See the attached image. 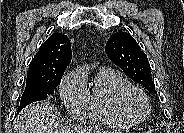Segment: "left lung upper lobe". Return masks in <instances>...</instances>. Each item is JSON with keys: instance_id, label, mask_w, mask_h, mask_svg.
<instances>
[{"instance_id": "5c2ea615", "label": "left lung upper lobe", "mask_w": 184, "mask_h": 133, "mask_svg": "<svg viewBox=\"0 0 184 133\" xmlns=\"http://www.w3.org/2000/svg\"><path fill=\"white\" fill-rule=\"evenodd\" d=\"M105 51L110 60L128 77L151 93L157 94L151 79L148 58L129 33L120 31L112 34L106 43Z\"/></svg>"}]
</instances>
